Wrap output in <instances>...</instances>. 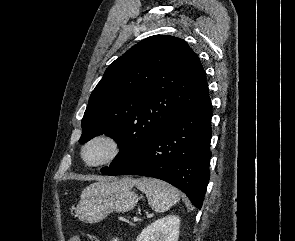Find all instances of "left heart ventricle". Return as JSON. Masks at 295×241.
<instances>
[{"instance_id": "1", "label": "left heart ventricle", "mask_w": 295, "mask_h": 241, "mask_svg": "<svg viewBox=\"0 0 295 241\" xmlns=\"http://www.w3.org/2000/svg\"><path fill=\"white\" fill-rule=\"evenodd\" d=\"M109 152L110 146L107 143L96 142L88 148L86 158L89 162H97L105 158Z\"/></svg>"}]
</instances>
